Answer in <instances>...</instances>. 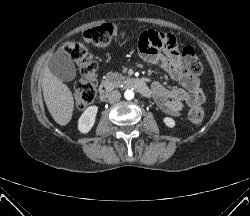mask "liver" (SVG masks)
<instances>
[{
  "mask_svg": "<svg viewBox=\"0 0 250 216\" xmlns=\"http://www.w3.org/2000/svg\"><path fill=\"white\" fill-rule=\"evenodd\" d=\"M42 89L44 101L53 119L61 126L67 125L74 110L71 90L48 67L43 71Z\"/></svg>",
  "mask_w": 250,
  "mask_h": 216,
  "instance_id": "6515ba94",
  "label": "liver"
}]
</instances>
